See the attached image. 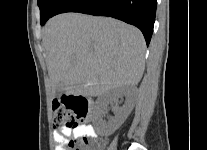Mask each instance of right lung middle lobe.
I'll return each mask as SVG.
<instances>
[{
    "label": "right lung middle lobe",
    "mask_w": 207,
    "mask_h": 150,
    "mask_svg": "<svg viewBox=\"0 0 207 150\" xmlns=\"http://www.w3.org/2000/svg\"><path fill=\"white\" fill-rule=\"evenodd\" d=\"M63 0H38L40 8V21L43 25L50 17H52Z\"/></svg>",
    "instance_id": "dd1d6c3e"
}]
</instances>
